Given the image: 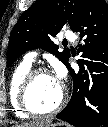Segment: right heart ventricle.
I'll use <instances>...</instances> for the list:
<instances>
[{"label":"right heart ventricle","instance_id":"obj_1","mask_svg":"<svg viewBox=\"0 0 108 127\" xmlns=\"http://www.w3.org/2000/svg\"><path fill=\"white\" fill-rule=\"evenodd\" d=\"M30 70L31 64L26 61H23L15 67L10 76L8 90L9 101L13 112L19 118H28L29 116V114H27L19 105L18 93L22 80Z\"/></svg>","mask_w":108,"mask_h":127}]
</instances>
